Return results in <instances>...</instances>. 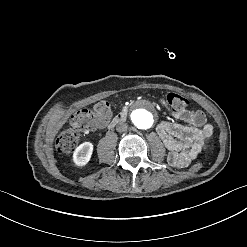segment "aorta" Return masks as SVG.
Returning a JSON list of instances; mask_svg holds the SVG:
<instances>
[{
	"mask_svg": "<svg viewBox=\"0 0 247 247\" xmlns=\"http://www.w3.org/2000/svg\"><path fill=\"white\" fill-rule=\"evenodd\" d=\"M133 121L137 127L141 129H148L153 124L152 116L147 112H144V110H141L138 114H135Z\"/></svg>",
	"mask_w": 247,
	"mask_h": 247,
	"instance_id": "762f6f07",
	"label": "aorta"
}]
</instances>
